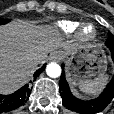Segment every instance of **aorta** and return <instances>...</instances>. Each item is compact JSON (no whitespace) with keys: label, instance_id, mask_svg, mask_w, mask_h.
<instances>
[{"label":"aorta","instance_id":"762f6f07","mask_svg":"<svg viewBox=\"0 0 114 114\" xmlns=\"http://www.w3.org/2000/svg\"><path fill=\"white\" fill-rule=\"evenodd\" d=\"M46 73L51 78H57L61 75V67L56 63H50L46 67Z\"/></svg>","mask_w":114,"mask_h":114}]
</instances>
